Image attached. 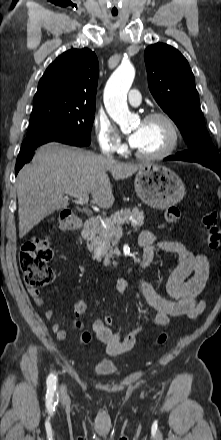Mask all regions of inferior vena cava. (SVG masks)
Here are the masks:
<instances>
[{
  "label": "inferior vena cava",
  "instance_id": "inferior-vena-cava-1",
  "mask_svg": "<svg viewBox=\"0 0 221 440\" xmlns=\"http://www.w3.org/2000/svg\"><path fill=\"white\" fill-rule=\"evenodd\" d=\"M107 158L109 159V160H111V161H113L114 159H113V157L112 156H110V155H107Z\"/></svg>",
  "mask_w": 221,
  "mask_h": 440
}]
</instances>
